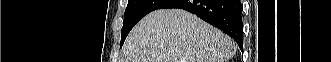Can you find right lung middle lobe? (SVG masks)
<instances>
[{
	"label": "right lung middle lobe",
	"instance_id": "obj_1",
	"mask_svg": "<svg viewBox=\"0 0 331 62\" xmlns=\"http://www.w3.org/2000/svg\"><path fill=\"white\" fill-rule=\"evenodd\" d=\"M172 0H128L124 14V23L121 30V43H124L127 35L134 25L151 11L161 9Z\"/></svg>",
	"mask_w": 331,
	"mask_h": 62
}]
</instances>
